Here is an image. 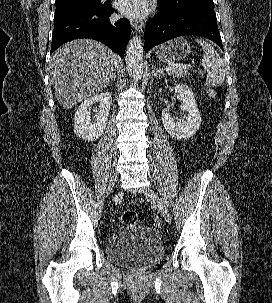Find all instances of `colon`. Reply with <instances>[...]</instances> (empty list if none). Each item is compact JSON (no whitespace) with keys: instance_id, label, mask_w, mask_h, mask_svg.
Returning <instances> with one entry per match:
<instances>
[{"instance_id":"obj_1","label":"colon","mask_w":272,"mask_h":303,"mask_svg":"<svg viewBox=\"0 0 272 303\" xmlns=\"http://www.w3.org/2000/svg\"><path fill=\"white\" fill-rule=\"evenodd\" d=\"M121 220L125 225H132L136 224L138 216L134 210L127 209L122 213Z\"/></svg>"}]
</instances>
